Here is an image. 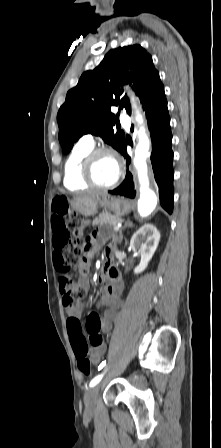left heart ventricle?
Here are the masks:
<instances>
[{
  "label": "left heart ventricle",
  "mask_w": 221,
  "mask_h": 448,
  "mask_svg": "<svg viewBox=\"0 0 221 448\" xmlns=\"http://www.w3.org/2000/svg\"><path fill=\"white\" fill-rule=\"evenodd\" d=\"M118 173V165L110 155L99 156L94 165L93 174L99 184H110Z\"/></svg>",
  "instance_id": "obj_1"
}]
</instances>
